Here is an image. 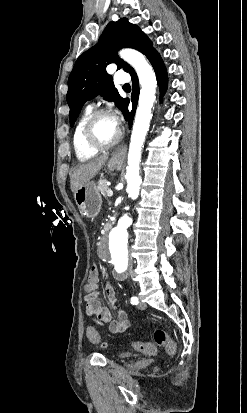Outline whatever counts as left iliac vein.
<instances>
[{
  "label": "left iliac vein",
  "instance_id": "4c4485c4",
  "mask_svg": "<svg viewBox=\"0 0 247 413\" xmlns=\"http://www.w3.org/2000/svg\"><path fill=\"white\" fill-rule=\"evenodd\" d=\"M145 304L141 301V299H140V301H139V303H138V308H140V309H145Z\"/></svg>",
  "mask_w": 247,
  "mask_h": 413
}]
</instances>
